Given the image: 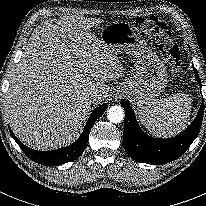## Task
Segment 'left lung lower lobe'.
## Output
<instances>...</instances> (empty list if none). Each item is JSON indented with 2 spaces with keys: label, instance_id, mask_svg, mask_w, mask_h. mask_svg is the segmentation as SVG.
Returning <instances> with one entry per match:
<instances>
[{
  "label": "left lung lower lobe",
  "instance_id": "1",
  "mask_svg": "<svg viewBox=\"0 0 206 206\" xmlns=\"http://www.w3.org/2000/svg\"><path fill=\"white\" fill-rule=\"evenodd\" d=\"M194 72L201 86L199 75L195 68ZM121 105L125 110L123 134L125 151L132 159L148 164H165L184 154L199 133L204 113L202 101L196 118L186 130L178 136L169 139H158L149 137L142 132L127 101L122 100Z\"/></svg>",
  "mask_w": 206,
  "mask_h": 206
}]
</instances>
